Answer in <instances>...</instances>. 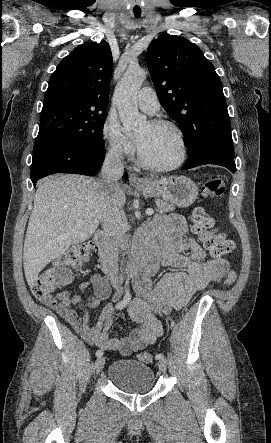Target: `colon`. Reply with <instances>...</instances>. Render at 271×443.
I'll return each instance as SVG.
<instances>
[{
	"mask_svg": "<svg viewBox=\"0 0 271 443\" xmlns=\"http://www.w3.org/2000/svg\"><path fill=\"white\" fill-rule=\"evenodd\" d=\"M202 192L207 197H222L225 194V183L221 178L208 179ZM192 230L204 247L213 257H222L233 251L235 245L224 233L215 229V221L204 209L198 208L191 215ZM93 244L82 243L69 249L53 264L44 268L31 284V292L38 299L51 296L56 289L66 285L70 280L71 271L80 267L92 254ZM236 280V273L230 271L224 280L226 287L231 286ZM138 359L150 363L153 357L150 353L143 352Z\"/></svg>",
	"mask_w": 271,
	"mask_h": 443,
	"instance_id": "obj_1",
	"label": "colon"
}]
</instances>
